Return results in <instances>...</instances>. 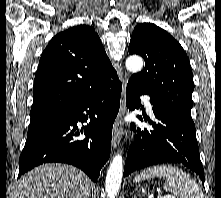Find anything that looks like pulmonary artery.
<instances>
[{"label":"pulmonary artery","instance_id":"1","mask_svg":"<svg viewBox=\"0 0 221 198\" xmlns=\"http://www.w3.org/2000/svg\"><path fill=\"white\" fill-rule=\"evenodd\" d=\"M143 100H144L147 111L152 114V112H153L152 111V105H151V102L149 100V97L143 96Z\"/></svg>","mask_w":221,"mask_h":198}]
</instances>
